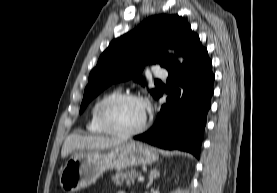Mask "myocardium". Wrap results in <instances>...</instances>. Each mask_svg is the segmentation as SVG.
Returning <instances> with one entry per match:
<instances>
[{
	"instance_id": "1",
	"label": "myocardium",
	"mask_w": 277,
	"mask_h": 193,
	"mask_svg": "<svg viewBox=\"0 0 277 193\" xmlns=\"http://www.w3.org/2000/svg\"><path fill=\"white\" fill-rule=\"evenodd\" d=\"M125 100H137V101L145 102L139 95H136L133 93H118V94H115L113 96L106 98L105 100H103L100 103L98 110H97V120H98V123L101 126V128L107 134H110V135H113L116 137L127 138V137H132V136L142 133L148 127L149 115H148L147 111H146L143 122L140 124V126H138L135 129L128 130V131H121V130L116 129L111 124L109 115H108L109 109L113 105H115L121 101H125Z\"/></svg>"
}]
</instances>
